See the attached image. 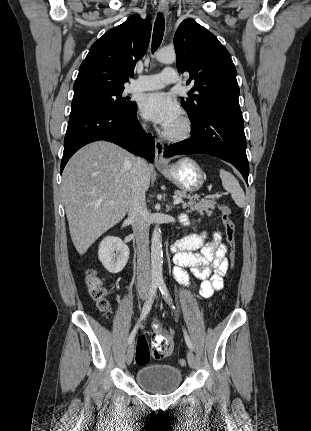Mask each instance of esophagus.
Wrapping results in <instances>:
<instances>
[{
    "mask_svg": "<svg viewBox=\"0 0 311 431\" xmlns=\"http://www.w3.org/2000/svg\"><path fill=\"white\" fill-rule=\"evenodd\" d=\"M158 10L163 13V15L167 16L169 7L168 5L159 4ZM164 153V143L162 140H159L158 138L155 139V160L154 163L156 166H162L163 164H166V160L163 158Z\"/></svg>",
    "mask_w": 311,
    "mask_h": 431,
    "instance_id": "esophagus-1",
    "label": "esophagus"
}]
</instances>
